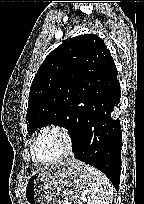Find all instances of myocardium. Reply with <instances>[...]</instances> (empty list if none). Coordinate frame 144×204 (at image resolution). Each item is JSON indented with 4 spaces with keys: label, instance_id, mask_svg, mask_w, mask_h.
<instances>
[{
    "label": "myocardium",
    "instance_id": "1",
    "mask_svg": "<svg viewBox=\"0 0 144 204\" xmlns=\"http://www.w3.org/2000/svg\"><path fill=\"white\" fill-rule=\"evenodd\" d=\"M47 132H56L59 135H61L65 142V150L62 153V155H60L58 158L51 160V161L44 162V161H40L37 158L36 153H35V146L40 136ZM74 147H75V139H74L72 132L63 125L51 124V125H48L42 128L34 137L32 144H31V155H32V159L37 164L54 165V164H58L64 161L65 159H67L73 153Z\"/></svg>",
    "mask_w": 144,
    "mask_h": 204
}]
</instances>
